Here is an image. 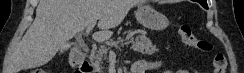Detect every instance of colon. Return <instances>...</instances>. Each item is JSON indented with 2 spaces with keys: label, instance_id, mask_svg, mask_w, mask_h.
Masks as SVG:
<instances>
[{
  "label": "colon",
  "instance_id": "5ec220e1",
  "mask_svg": "<svg viewBox=\"0 0 244 73\" xmlns=\"http://www.w3.org/2000/svg\"><path fill=\"white\" fill-rule=\"evenodd\" d=\"M177 35L180 41L189 48L209 51L211 50V44L207 41L197 38L191 27L188 24L181 23L177 26ZM213 67L215 73L227 72V60L222 53H216L213 57ZM34 73H43L42 70H35Z\"/></svg>",
  "mask_w": 244,
  "mask_h": 73
}]
</instances>
